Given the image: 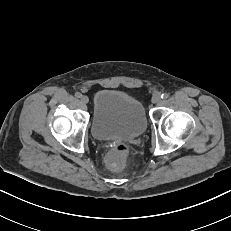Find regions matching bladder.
<instances>
[{"instance_id":"bladder-1","label":"bladder","mask_w":231,"mask_h":231,"mask_svg":"<svg viewBox=\"0 0 231 231\" xmlns=\"http://www.w3.org/2000/svg\"><path fill=\"white\" fill-rule=\"evenodd\" d=\"M146 127V113L137 99L108 89L94 94L90 129L95 139L129 140L143 134Z\"/></svg>"}]
</instances>
